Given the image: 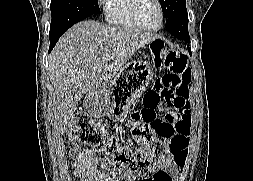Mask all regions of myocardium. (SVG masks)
<instances>
[{
    "instance_id": "myocardium-1",
    "label": "myocardium",
    "mask_w": 253,
    "mask_h": 181,
    "mask_svg": "<svg viewBox=\"0 0 253 181\" xmlns=\"http://www.w3.org/2000/svg\"><path fill=\"white\" fill-rule=\"evenodd\" d=\"M155 2L157 3L160 10V23L158 27L156 28H148L142 24L139 18L138 8H139L140 0H130V15L132 17V20L134 21V23L137 25L139 29L147 31V32H157L163 27L164 21H165L164 5L161 0H155Z\"/></svg>"
}]
</instances>
